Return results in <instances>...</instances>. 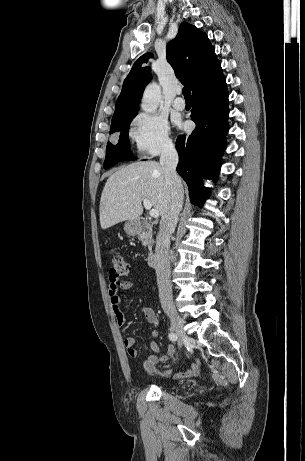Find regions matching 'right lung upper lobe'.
Wrapping results in <instances>:
<instances>
[{"label": "right lung upper lobe", "mask_w": 305, "mask_h": 461, "mask_svg": "<svg viewBox=\"0 0 305 461\" xmlns=\"http://www.w3.org/2000/svg\"><path fill=\"white\" fill-rule=\"evenodd\" d=\"M166 58L192 93L222 73L221 65L206 34L184 22L177 36L166 46ZM151 54L141 56L133 65L123 83L116 102L111 128L118 122L136 116L145 86L149 83L151 68L146 66Z\"/></svg>", "instance_id": "cb5924a9"}]
</instances>
